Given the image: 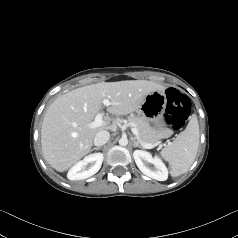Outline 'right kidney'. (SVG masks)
<instances>
[{
    "label": "right kidney",
    "mask_w": 238,
    "mask_h": 238,
    "mask_svg": "<svg viewBox=\"0 0 238 238\" xmlns=\"http://www.w3.org/2000/svg\"><path fill=\"white\" fill-rule=\"evenodd\" d=\"M103 158L102 153H94L86 156L83 160L71 167L67 178L69 180H82L93 176L100 170ZM88 164H91V167L86 170L85 168Z\"/></svg>",
    "instance_id": "ca27d5eb"
}]
</instances>
